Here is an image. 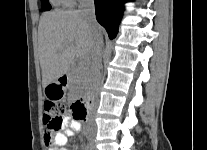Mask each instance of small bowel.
<instances>
[{
	"label": "small bowel",
	"mask_w": 207,
	"mask_h": 150,
	"mask_svg": "<svg viewBox=\"0 0 207 150\" xmlns=\"http://www.w3.org/2000/svg\"><path fill=\"white\" fill-rule=\"evenodd\" d=\"M79 130V123L76 120L66 119L63 130L50 134V138L45 141L50 144L49 150H68L65 145L68 137L75 135Z\"/></svg>",
	"instance_id": "c3829d8e"
}]
</instances>
